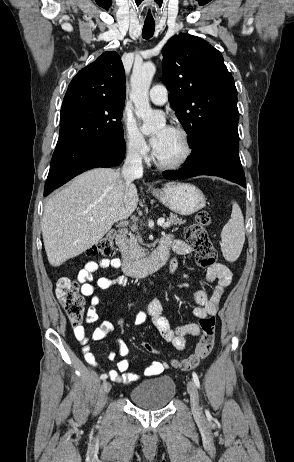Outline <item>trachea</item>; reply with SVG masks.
<instances>
[{
	"instance_id": "trachea-1",
	"label": "trachea",
	"mask_w": 294,
	"mask_h": 462,
	"mask_svg": "<svg viewBox=\"0 0 294 462\" xmlns=\"http://www.w3.org/2000/svg\"><path fill=\"white\" fill-rule=\"evenodd\" d=\"M155 30V23L153 22H145L143 31H142V36L144 39H149L153 36Z\"/></svg>"
}]
</instances>
